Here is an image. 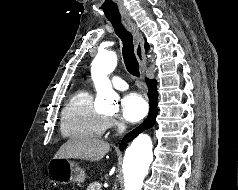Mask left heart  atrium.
Masks as SVG:
<instances>
[{"label": "left heart atrium", "instance_id": "1", "mask_svg": "<svg viewBox=\"0 0 238 190\" xmlns=\"http://www.w3.org/2000/svg\"><path fill=\"white\" fill-rule=\"evenodd\" d=\"M146 101L137 93H129L121 100V117L131 123L138 122L147 114Z\"/></svg>", "mask_w": 238, "mask_h": 190}]
</instances>
